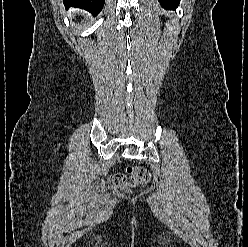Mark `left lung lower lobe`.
<instances>
[{"instance_id":"0a47b994","label":"left lung lower lobe","mask_w":248,"mask_h":247,"mask_svg":"<svg viewBox=\"0 0 248 247\" xmlns=\"http://www.w3.org/2000/svg\"><path fill=\"white\" fill-rule=\"evenodd\" d=\"M165 9H176L180 0H159Z\"/></svg>"}]
</instances>
